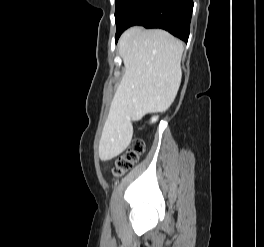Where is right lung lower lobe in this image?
I'll use <instances>...</instances> for the list:
<instances>
[{
  "label": "right lung lower lobe",
  "mask_w": 264,
  "mask_h": 247,
  "mask_svg": "<svg viewBox=\"0 0 264 247\" xmlns=\"http://www.w3.org/2000/svg\"><path fill=\"white\" fill-rule=\"evenodd\" d=\"M193 0H129L117 22L115 40L133 25L161 28L187 42Z\"/></svg>",
  "instance_id": "obj_1"
}]
</instances>
